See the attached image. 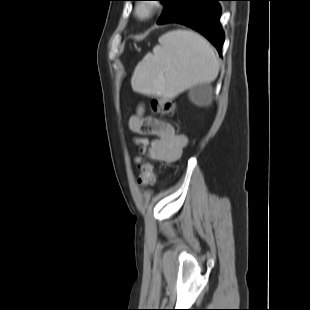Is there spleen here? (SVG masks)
Wrapping results in <instances>:
<instances>
[{
    "label": "spleen",
    "mask_w": 310,
    "mask_h": 310,
    "mask_svg": "<svg viewBox=\"0 0 310 310\" xmlns=\"http://www.w3.org/2000/svg\"><path fill=\"white\" fill-rule=\"evenodd\" d=\"M159 44L135 68L131 79L134 91L173 99L188 88L216 79L217 55L199 34L174 30L162 35Z\"/></svg>",
    "instance_id": "1"
}]
</instances>
